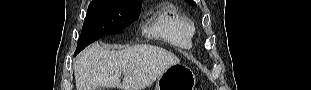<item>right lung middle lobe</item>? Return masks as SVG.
Returning <instances> with one entry per match:
<instances>
[{
	"label": "right lung middle lobe",
	"mask_w": 311,
	"mask_h": 90,
	"mask_svg": "<svg viewBox=\"0 0 311 90\" xmlns=\"http://www.w3.org/2000/svg\"><path fill=\"white\" fill-rule=\"evenodd\" d=\"M141 6L140 2L123 0L92 1L84 19L76 53L103 36L122 32L139 18Z\"/></svg>",
	"instance_id": "1"
}]
</instances>
